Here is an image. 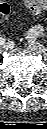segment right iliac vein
<instances>
[{"label": "right iliac vein", "instance_id": "63e3f726", "mask_svg": "<svg viewBox=\"0 0 47 129\" xmlns=\"http://www.w3.org/2000/svg\"><path fill=\"white\" fill-rule=\"evenodd\" d=\"M7 49H8V45L7 44H1V46H0V52L1 53L6 51Z\"/></svg>", "mask_w": 47, "mask_h": 129}]
</instances>
